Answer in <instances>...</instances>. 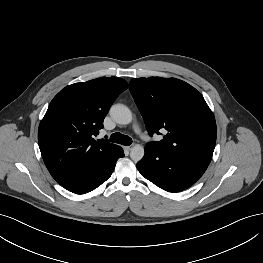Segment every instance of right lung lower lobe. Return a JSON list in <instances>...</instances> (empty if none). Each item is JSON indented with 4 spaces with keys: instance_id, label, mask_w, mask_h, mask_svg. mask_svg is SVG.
<instances>
[{
    "instance_id": "98d812e1",
    "label": "right lung lower lobe",
    "mask_w": 263,
    "mask_h": 263,
    "mask_svg": "<svg viewBox=\"0 0 263 263\" xmlns=\"http://www.w3.org/2000/svg\"><path fill=\"white\" fill-rule=\"evenodd\" d=\"M123 156L124 151L119 147V149L111 157L98 162L81 176L61 186L76 194L90 192L100 186L111 176L115 168L116 161Z\"/></svg>"
}]
</instances>
